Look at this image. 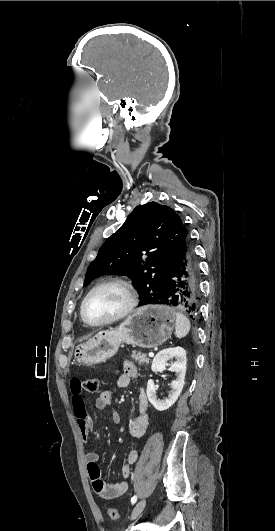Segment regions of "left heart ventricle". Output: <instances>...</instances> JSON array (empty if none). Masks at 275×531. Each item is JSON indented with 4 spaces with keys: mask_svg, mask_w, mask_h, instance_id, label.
<instances>
[{
    "mask_svg": "<svg viewBox=\"0 0 275 531\" xmlns=\"http://www.w3.org/2000/svg\"><path fill=\"white\" fill-rule=\"evenodd\" d=\"M125 292L118 286H107L94 292L84 304L85 318L90 322L107 320L124 310Z\"/></svg>",
    "mask_w": 275,
    "mask_h": 531,
    "instance_id": "1",
    "label": "left heart ventricle"
}]
</instances>
